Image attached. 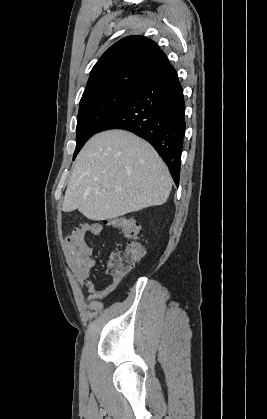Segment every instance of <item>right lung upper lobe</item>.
Segmentation results:
<instances>
[{
    "label": "right lung upper lobe",
    "mask_w": 267,
    "mask_h": 419,
    "mask_svg": "<svg viewBox=\"0 0 267 419\" xmlns=\"http://www.w3.org/2000/svg\"><path fill=\"white\" fill-rule=\"evenodd\" d=\"M169 65L165 53L151 39L125 37L113 44L94 65L82 98L102 91L140 86Z\"/></svg>",
    "instance_id": "1"
}]
</instances>
